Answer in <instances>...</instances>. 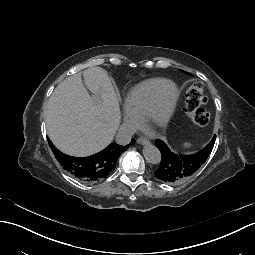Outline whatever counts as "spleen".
<instances>
[{
    "label": "spleen",
    "mask_w": 255,
    "mask_h": 255,
    "mask_svg": "<svg viewBox=\"0 0 255 255\" xmlns=\"http://www.w3.org/2000/svg\"><path fill=\"white\" fill-rule=\"evenodd\" d=\"M183 146H184L185 148H188V147H190V146H191V143H189V142H185V143L183 144Z\"/></svg>",
    "instance_id": "1"
}]
</instances>
